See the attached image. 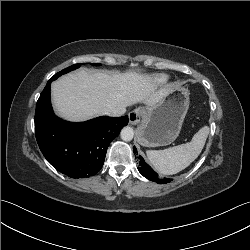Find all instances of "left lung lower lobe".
I'll return each instance as SVG.
<instances>
[{
    "label": "left lung lower lobe",
    "mask_w": 250,
    "mask_h": 250,
    "mask_svg": "<svg viewBox=\"0 0 250 250\" xmlns=\"http://www.w3.org/2000/svg\"><path fill=\"white\" fill-rule=\"evenodd\" d=\"M134 153L137 152L136 148L134 147ZM137 159H138V170L139 172L145 177L147 178L148 180L150 181H154L158 184H166L168 182L171 181V179H168V178H165V179H159L158 178V174L156 172H154V170L145 163L144 159L137 155Z\"/></svg>",
    "instance_id": "left-lung-lower-lobe-1"
}]
</instances>
